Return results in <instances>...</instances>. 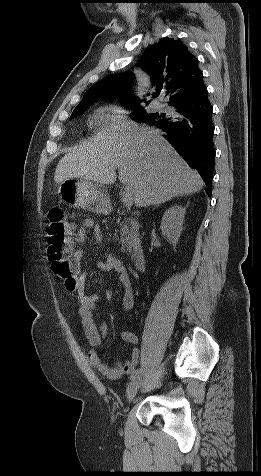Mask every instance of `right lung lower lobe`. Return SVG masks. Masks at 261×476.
Masks as SVG:
<instances>
[{
    "label": "right lung lower lobe",
    "mask_w": 261,
    "mask_h": 476,
    "mask_svg": "<svg viewBox=\"0 0 261 476\" xmlns=\"http://www.w3.org/2000/svg\"><path fill=\"white\" fill-rule=\"evenodd\" d=\"M176 114L150 122L167 133L166 139L196 169L207 187L212 186L215 149L212 106L203 85L189 98L171 105ZM210 191V190H209ZM211 192V191H210Z\"/></svg>",
    "instance_id": "obj_1"
}]
</instances>
